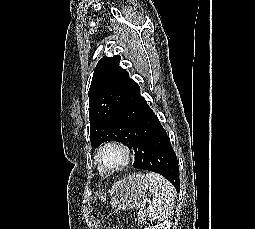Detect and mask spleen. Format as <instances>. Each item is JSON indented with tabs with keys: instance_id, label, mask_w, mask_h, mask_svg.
Listing matches in <instances>:
<instances>
[{
	"instance_id": "spleen-1",
	"label": "spleen",
	"mask_w": 255,
	"mask_h": 229,
	"mask_svg": "<svg viewBox=\"0 0 255 229\" xmlns=\"http://www.w3.org/2000/svg\"><path fill=\"white\" fill-rule=\"evenodd\" d=\"M146 177L149 182V192L154 197L149 203L147 214L149 218L164 220L173 211L175 188L166 178L155 172H148Z\"/></svg>"
}]
</instances>
